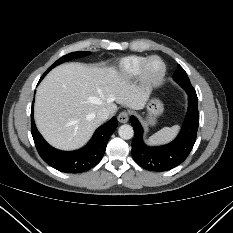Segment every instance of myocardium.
Segmentation results:
<instances>
[{
  "label": "myocardium",
  "mask_w": 233,
  "mask_h": 233,
  "mask_svg": "<svg viewBox=\"0 0 233 233\" xmlns=\"http://www.w3.org/2000/svg\"><path fill=\"white\" fill-rule=\"evenodd\" d=\"M152 60H158L161 65V71L159 74L153 76L150 74L149 72V64ZM166 64L165 62L162 60V58H160L159 56L153 55L148 57L145 62L142 65V68L140 70V81L142 82L143 85L147 86V87H151V86H155L157 84H159L165 77L166 75Z\"/></svg>",
  "instance_id": "myocardium-1"
}]
</instances>
